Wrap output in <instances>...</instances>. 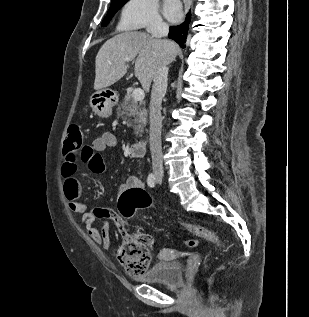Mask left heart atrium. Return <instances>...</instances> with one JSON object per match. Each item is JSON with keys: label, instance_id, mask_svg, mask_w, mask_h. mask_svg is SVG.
I'll use <instances>...</instances> for the list:
<instances>
[{"label": "left heart atrium", "instance_id": "1", "mask_svg": "<svg viewBox=\"0 0 309 317\" xmlns=\"http://www.w3.org/2000/svg\"><path fill=\"white\" fill-rule=\"evenodd\" d=\"M164 14L170 21H178L182 16L181 5L178 0H166Z\"/></svg>", "mask_w": 309, "mask_h": 317}]
</instances>
